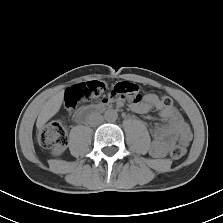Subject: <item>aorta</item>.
Here are the masks:
<instances>
[{
  "mask_svg": "<svg viewBox=\"0 0 223 223\" xmlns=\"http://www.w3.org/2000/svg\"><path fill=\"white\" fill-rule=\"evenodd\" d=\"M104 118L108 122H115L118 118V114L115 110L110 109L105 112Z\"/></svg>",
  "mask_w": 223,
  "mask_h": 223,
  "instance_id": "obj_1",
  "label": "aorta"
}]
</instances>
